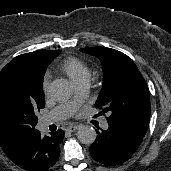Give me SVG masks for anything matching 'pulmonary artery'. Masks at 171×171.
<instances>
[{
	"label": "pulmonary artery",
	"instance_id": "obj_1",
	"mask_svg": "<svg viewBox=\"0 0 171 171\" xmlns=\"http://www.w3.org/2000/svg\"><path fill=\"white\" fill-rule=\"evenodd\" d=\"M75 86L78 92V99L61 104L54 108L46 117L43 118V123L48 125L71 116L77 109L79 102L86 94V89L88 86V79H82L75 82ZM102 128L108 129V123L106 121L102 122Z\"/></svg>",
	"mask_w": 171,
	"mask_h": 171
}]
</instances>
